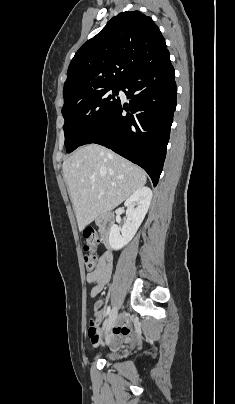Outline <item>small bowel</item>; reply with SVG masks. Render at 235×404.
Listing matches in <instances>:
<instances>
[{
    "instance_id": "1",
    "label": "small bowel",
    "mask_w": 235,
    "mask_h": 404,
    "mask_svg": "<svg viewBox=\"0 0 235 404\" xmlns=\"http://www.w3.org/2000/svg\"><path fill=\"white\" fill-rule=\"evenodd\" d=\"M113 266V254L108 251H102L99 256V261L96 267L86 275V280L92 285L90 295L96 297L109 282ZM94 308L101 311L103 317L107 316V309H103V301L96 300ZM108 335L107 344L115 348L123 343L130 335V317L127 314L120 316L119 322L116 323L109 330L107 329V322L105 321L103 327L89 328L88 336L92 345H97L100 340V334Z\"/></svg>"
}]
</instances>
